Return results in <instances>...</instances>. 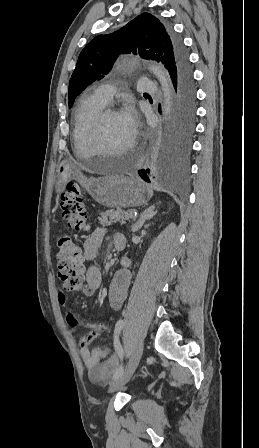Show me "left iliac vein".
Listing matches in <instances>:
<instances>
[{"label":"left iliac vein","instance_id":"1","mask_svg":"<svg viewBox=\"0 0 259 448\" xmlns=\"http://www.w3.org/2000/svg\"><path fill=\"white\" fill-rule=\"evenodd\" d=\"M142 353H143V342H139L133 351V354L125 368V371L119 378H117L111 383L109 392H114L120 389L130 380L139 364Z\"/></svg>","mask_w":259,"mask_h":448}]
</instances>
